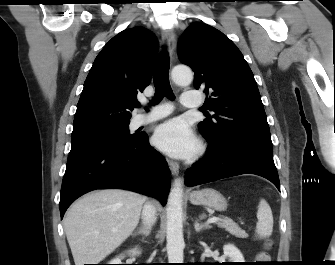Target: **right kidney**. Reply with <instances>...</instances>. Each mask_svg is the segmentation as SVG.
I'll return each instance as SVG.
<instances>
[{
	"label": "right kidney",
	"mask_w": 335,
	"mask_h": 265,
	"mask_svg": "<svg viewBox=\"0 0 335 265\" xmlns=\"http://www.w3.org/2000/svg\"><path fill=\"white\" fill-rule=\"evenodd\" d=\"M139 254H141V251L138 250L137 248L129 251V255H139ZM123 257L124 256H119V257L113 259L112 262H110V264H121V259Z\"/></svg>",
	"instance_id": "1"
}]
</instances>
